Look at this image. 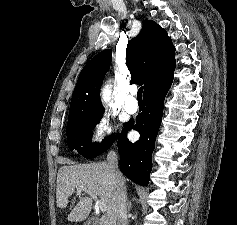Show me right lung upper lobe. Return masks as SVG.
Here are the masks:
<instances>
[{
    "instance_id": "cb5924a9",
    "label": "right lung upper lobe",
    "mask_w": 237,
    "mask_h": 225,
    "mask_svg": "<svg viewBox=\"0 0 237 225\" xmlns=\"http://www.w3.org/2000/svg\"><path fill=\"white\" fill-rule=\"evenodd\" d=\"M111 60V50H104L84 66L77 80L69 111L86 115L104 112L100 86ZM126 64L132 75L130 83L144 85V94L162 82L172 80L176 65L175 47L167 32L155 21H145L140 33L128 42Z\"/></svg>"
}]
</instances>
